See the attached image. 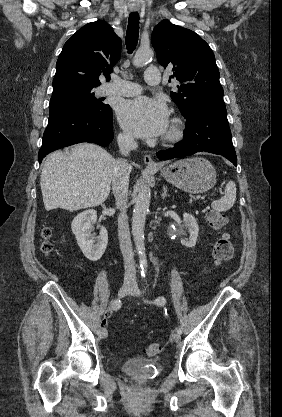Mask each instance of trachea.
<instances>
[{
    "instance_id": "1",
    "label": "trachea",
    "mask_w": 282,
    "mask_h": 417,
    "mask_svg": "<svg viewBox=\"0 0 282 417\" xmlns=\"http://www.w3.org/2000/svg\"><path fill=\"white\" fill-rule=\"evenodd\" d=\"M139 37V14L132 12L129 15L128 27L126 31V46L129 53L135 50Z\"/></svg>"
}]
</instances>
